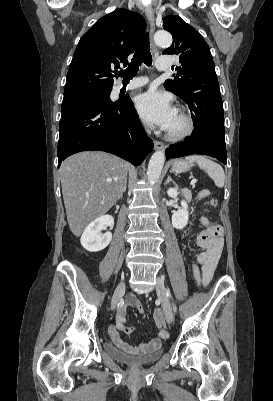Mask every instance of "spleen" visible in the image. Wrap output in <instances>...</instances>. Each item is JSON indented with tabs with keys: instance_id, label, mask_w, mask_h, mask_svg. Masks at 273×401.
Listing matches in <instances>:
<instances>
[{
	"instance_id": "3e777b00",
	"label": "spleen",
	"mask_w": 273,
	"mask_h": 401,
	"mask_svg": "<svg viewBox=\"0 0 273 401\" xmlns=\"http://www.w3.org/2000/svg\"><path fill=\"white\" fill-rule=\"evenodd\" d=\"M186 160L190 162H197L202 170H205L211 178H213L217 186H224L225 174L222 166L213 162L210 158H205V156H200V154H191V156H186Z\"/></svg>"
}]
</instances>
